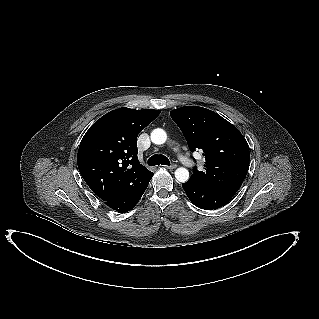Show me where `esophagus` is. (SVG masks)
I'll use <instances>...</instances> for the list:
<instances>
[{
    "label": "esophagus",
    "instance_id": "1",
    "mask_svg": "<svg viewBox=\"0 0 319 319\" xmlns=\"http://www.w3.org/2000/svg\"><path fill=\"white\" fill-rule=\"evenodd\" d=\"M177 167V165L175 164H172V165H169V166H165V168L169 169V170H173Z\"/></svg>",
    "mask_w": 319,
    "mask_h": 319
}]
</instances>
